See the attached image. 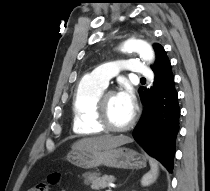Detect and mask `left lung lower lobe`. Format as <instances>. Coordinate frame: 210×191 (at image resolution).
Masks as SVG:
<instances>
[{
  "label": "left lung lower lobe",
  "mask_w": 210,
  "mask_h": 191,
  "mask_svg": "<svg viewBox=\"0 0 210 191\" xmlns=\"http://www.w3.org/2000/svg\"><path fill=\"white\" fill-rule=\"evenodd\" d=\"M152 70L155 74L153 87L145 91L139 89L144 109L133 137L172 173L180 109L171 64L165 51L158 54Z\"/></svg>",
  "instance_id": "left-lung-lower-lobe-1"
}]
</instances>
